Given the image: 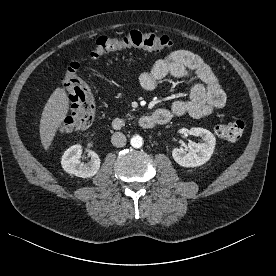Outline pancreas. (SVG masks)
Instances as JSON below:
<instances>
[{
    "label": "pancreas",
    "instance_id": "1",
    "mask_svg": "<svg viewBox=\"0 0 276 276\" xmlns=\"http://www.w3.org/2000/svg\"><path fill=\"white\" fill-rule=\"evenodd\" d=\"M127 117L128 119H133V116L130 113L127 114Z\"/></svg>",
    "mask_w": 276,
    "mask_h": 276
}]
</instances>
